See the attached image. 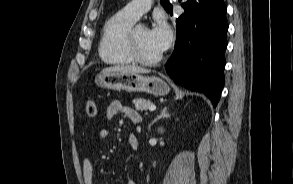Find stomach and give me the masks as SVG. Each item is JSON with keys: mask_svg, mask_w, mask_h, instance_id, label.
<instances>
[{"mask_svg": "<svg viewBox=\"0 0 293 184\" xmlns=\"http://www.w3.org/2000/svg\"><path fill=\"white\" fill-rule=\"evenodd\" d=\"M97 86L104 89L145 92L155 96L167 95V83L159 77H145L138 73L101 72L95 78Z\"/></svg>", "mask_w": 293, "mask_h": 184, "instance_id": "1", "label": "stomach"}]
</instances>
